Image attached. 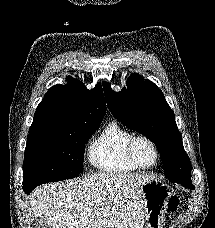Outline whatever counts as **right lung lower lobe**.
I'll use <instances>...</instances> for the list:
<instances>
[{"mask_svg":"<svg viewBox=\"0 0 215 228\" xmlns=\"http://www.w3.org/2000/svg\"><path fill=\"white\" fill-rule=\"evenodd\" d=\"M23 190H24V191H25V193H27V194H29V193H30V192L28 193V192H27V190H26L25 188H23Z\"/></svg>","mask_w":215,"mask_h":228,"instance_id":"obj_1","label":"right lung lower lobe"}]
</instances>
